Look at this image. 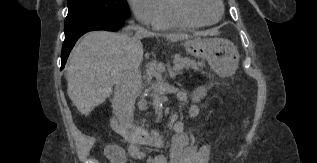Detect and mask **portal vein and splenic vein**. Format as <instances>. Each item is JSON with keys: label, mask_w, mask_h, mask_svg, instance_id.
I'll return each instance as SVG.
<instances>
[{"label": "portal vein and splenic vein", "mask_w": 317, "mask_h": 163, "mask_svg": "<svg viewBox=\"0 0 317 163\" xmlns=\"http://www.w3.org/2000/svg\"><path fill=\"white\" fill-rule=\"evenodd\" d=\"M175 68H176L177 70H180V69H182V66L175 64Z\"/></svg>", "instance_id": "portal-vein-and-splenic-vein-1"}]
</instances>
